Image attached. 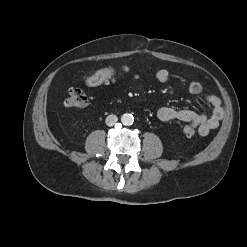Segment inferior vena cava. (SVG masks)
I'll return each instance as SVG.
<instances>
[{"instance_id": "1", "label": "inferior vena cava", "mask_w": 247, "mask_h": 247, "mask_svg": "<svg viewBox=\"0 0 247 247\" xmlns=\"http://www.w3.org/2000/svg\"><path fill=\"white\" fill-rule=\"evenodd\" d=\"M117 121H118L117 116L113 115V114L107 116V118H106V124L108 126H113Z\"/></svg>"}]
</instances>
